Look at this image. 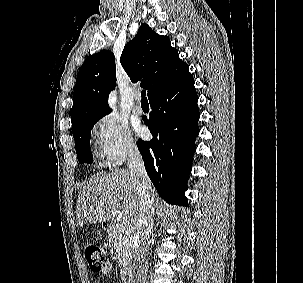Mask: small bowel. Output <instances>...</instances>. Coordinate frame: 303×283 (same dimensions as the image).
<instances>
[{
    "instance_id": "c3829d8e",
    "label": "small bowel",
    "mask_w": 303,
    "mask_h": 283,
    "mask_svg": "<svg viewBox=\"0 0 303 283\" xmlns=\"http://www.w3.org/2000/svg\"><path fill=\"white\" fill-rule=\"evenodd\" d=\"M111 269V264L107 263L102 271V275H106Z\"/></svg>"
}]
</instances>
